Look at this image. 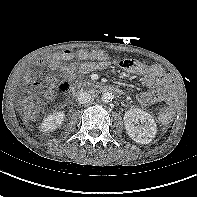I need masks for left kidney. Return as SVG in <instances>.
Returning <instances> with one entry per match:
<instances>
[{
  "label": "left kidney",
  "mask_w": 197,
  "mask_h": 197,
  "mask_svg": "<svg viewBox=\"0 0 197 197\" xmlns=\"http://www.w3.org/2000/svg\"><path fill=\"white\" fill-rule=\"evenodd\" d=\"M123 119L128 135L136 143L148 144L154 139L157 125L149 113L139 108H133L125 113Z\"/></svg>",
  "instance_id": "5707ae66"
}]
</instances>
